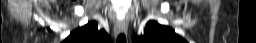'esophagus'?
<instances>
[{
	"label": "esophagus",
	"mask_w": 256,
	"mask_h": 43,
	"mask_svg": "<svg viewBox=\"0 0 256 43\" xmlns=\"http://www.w3.org/2000/svg\"><path fill=\"white\" fill-rule=\"evenodd\" d=\"M117 28L120 29L121 31H123L124 33H127V31H128V22H127V20L124 18L121 21H119L118 24H117Z\"/></svg>",
	"instance_id": "obj_1"
}]
</instances>
